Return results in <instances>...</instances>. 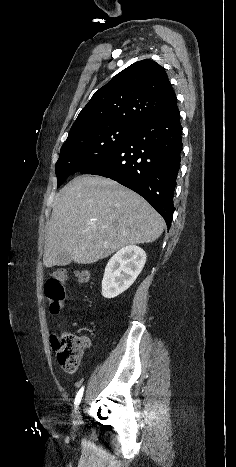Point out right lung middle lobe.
I'll return each mask as SVG.
<instances>
[{
	"mask_svg": "<svg viewBox=\"0 0 236 467\" xmlns=\"http://www.w3.org/2000/svg\"><path fill=\"white\" fill-rule=\"evenodd\" d=\"M135 130L113 125L68 135L56 163L57 187L71 174L88 168L115 151Z\"/></svg>",
	"mask_w": 236,
	"mask_h": 467,
	"instance_id": "dd1d6c3e",
	"label": "right lung middle lobe"
}]
</instances>
